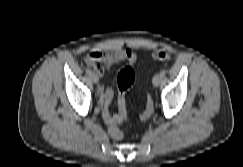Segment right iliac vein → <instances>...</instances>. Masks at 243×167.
Listing matches in <instances>:
<instances>
[{"instance_id": "right-iliac-vein-1", "label": "right iliac vein", "mask_w": 243, "mask_h": 167, "mask_svg": "<svg viewBox=\"0 0 243 167\" xmlns=\"http://www.w3.org/2000/svg\"><path fill=\"white\" fill-rule=\"evenodd\" d=\"M90 78H91V80H92L94 83H97V82L99 81V78H98L97 74H95V73H91V74H90Z\"/></svg>"}]
</instances>
